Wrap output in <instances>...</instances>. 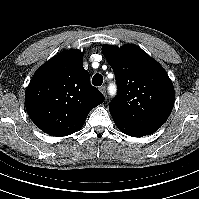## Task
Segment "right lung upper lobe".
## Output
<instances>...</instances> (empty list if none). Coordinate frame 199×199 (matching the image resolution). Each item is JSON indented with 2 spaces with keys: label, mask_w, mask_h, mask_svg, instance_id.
<instances>
[{
  "label": "right lung upper lobe",
  "mask_w": 199,
  "mask_h": 199,
  "mask_svg": "<svg viewBox=\"0 0 199 199\" xmlns=\"http://www.w3.org/2000/svg\"><path fill=\"white\" fill-rule=\"evenodd\" d=\"M82 62L80 50H68L34 73L25 92V105L43 132L61 137L80 130L91 109L104 101Z\"/></svg>",
  "instance_id": "right-lung-upper-lobe-1"
}]
</instances>
